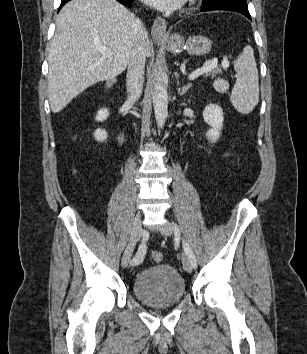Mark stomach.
I'll list each match as a JSON object with an SVG mask.
<instances>
[{"label":"stomach","instance_id":"stomach-1","mask_svg":"<svg viewBox=\"0 0 307 354\" xmlns=\"http://www.w3.org/2000/svg\"><path fill=\"white\" fill-rule=\"evenodd\" d=\"M158 42L169 51L176 52L185 49L194 56L208 54L212 46L210 39L203 35H192L185 41L184 37L177 33L171 34L166 40L159 39Z\"/></svg>","mask_w":307,"mask_h":354}]
</instances>
